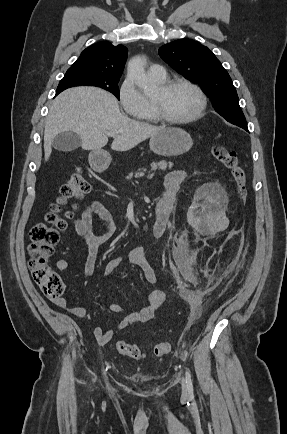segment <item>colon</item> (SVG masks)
Returning a JSON list of instances; mask_svg holds the SVG:
<instances>
[{
  "mask_svg": "<svg viewBox=\"0 0 287 434\" xmlns=\"http://www.w3.org/2000/svg\"><path fill=\"white\" fill-rule=\"evenodd\" d=\"M212 155L221 162L230 172L240 198L246 195L247 177L245 169L239 163L237 154L222 145L211 148ZM90 190V183L80 169H75L68 180L62 185L60 195L51 205L46 214L45 222L35 224L30 230V261L29 268L34 282L42 293L51 299L59 298L64 291V283L60 276L54 272L48 261L53 255L54 248L59 240V232L64 230L66 222L64 217H71L80 201ZM66 205L70 209L64 210ZM117 351L129 358L140 360L145 357L144 351L137 345L125 341L116 343ZM171 345L161 342L152 347L150 353L155 357L170 352Z\"/></svg>",
  "mask_w": 287,
  "mask_h": 434,
  "instance_id": "1",
  "label": "colon"
}]
</instances>
